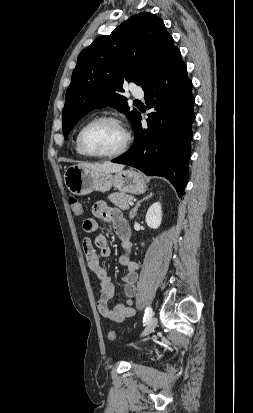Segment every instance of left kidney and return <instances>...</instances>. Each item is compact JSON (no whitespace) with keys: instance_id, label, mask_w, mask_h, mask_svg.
<instances>
[{"instance_id":"obj_1","label":"left kidney","mask_w":253,"mask_h":413,"mask_svg":"<svg viewBox=\"0 0 253 413\" xmlns=\"http://www.w3.org/2000/svg\"><path fill=\"white\" fill-rule=\"evenodd\" d=\"M162 222V208L159 202L153 203L146 214V223L150 228L157 229Z\"/></svg>"}]
</instances>
